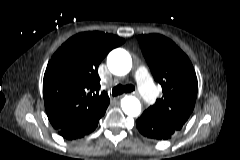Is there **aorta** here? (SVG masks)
Segmentation results:
<instances>
[{"label": "aorta", "instance_id": "762f6f07", "mask_svg": "<svg viewBox=\"0 0 240 160\" xmlns=\"http://www.w3.org/2000/svg\"><path fill=\"white\" fill-rule=\"evenodd\" d=\"M107 66L114 75H126L132 68L131 56L124 49H114L107 57ZM121 107L123 112L131 117H137L141 113L140 101L134 96H125L121 100Z\"/></svg>", "mask_w": 240, "mask_h": 160}]
</instances>
